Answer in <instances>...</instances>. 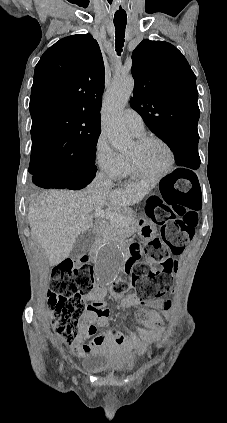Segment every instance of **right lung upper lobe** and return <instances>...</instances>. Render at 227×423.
I'll use <instances>...</instances> for the list:
<instances>
[{
  "mask_svg": "<svg viewBox=\"0 0 227 423\" xmlns=\"http://www.w3.org/2000/svg\"><path fill=\"white\" fill-rule=\"evenodd\" d=\"M104 62L91 34L65 37L36 65L30 96L32 151L66 148L100 133Z\"/></svg>",
  "mask_w": 227,
  "mask_h": 423,
  "instance_id": "obj_1",
  "label": "right lung upper lobe"
}]
</instances>
